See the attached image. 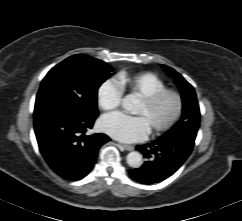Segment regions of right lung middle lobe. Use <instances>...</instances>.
Returning a JSON list of instances; mask_svg holds the SVG:
<instances>
[{
  "label": "right lung middle lobe",
  "instance_id": "dd1d6c3e",
  "mask_svg": "<svg viewBox=\"0 0 242 221\" xmlns=\"http://www.w3.org/2000/svg\"><path fill=\"white\" fill-rule=\"evenodd\" d=\"M113 68L93 57L70 56L52 68L41 82L34 116L62 112L82 118L98 115L97 90Z\"/></svg>",
  "mask_w": 242,
  "mask_h": 221
}]
</instances>
